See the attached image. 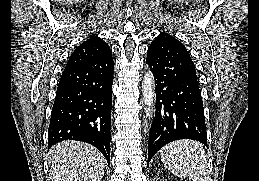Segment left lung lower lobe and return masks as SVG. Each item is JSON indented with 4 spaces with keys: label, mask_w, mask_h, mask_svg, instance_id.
<instances>
[{
    "label": "left lung lower lobe",
    "mask_w": 259,
    "mask_h": 181,
    "mask_svg": "<svg viewBox=\"0 0 259 181\" xmlns=\"http://www.w3.org/2000/svg\"><path fill=\"white\" fill-rule=\"evenodd\" d=\"M188 51L173 36L156 38L147 50L156 85V112L150 128L147 166L169 142L193 139L207 146L204 107L197 78L187 63Z\"/></svg>",
    "instance_id": "left-lung-lower-lobe-1"
}]
</instances>
